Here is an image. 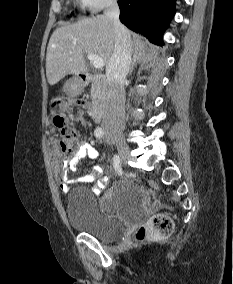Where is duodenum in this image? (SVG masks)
Returning a JSON list of instances; mask_svg holds the SVG:
<instances>
[{"instance_id": "obj_1", "label": "duodenum", "mask_w": 233, "mask_h": 284, "mask_svg": "<svg viewBox=\"0 0 233 284\" xmlns=\"http://www.w3.org/2000/svg\"><path fill=\"white\" fill-rule=\"evenodd\" d=\"M78 80L79 86H85L89 83L92 84L95 91V101L90 108V116L94 122H101L107 109V101L109 97L108 81L106 76L102 74L93 75L83 72L79 74Z\"/></svg>"}]
</instances>
